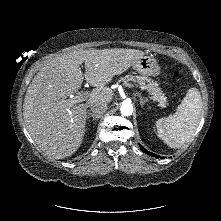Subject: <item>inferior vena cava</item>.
Masks as SVG:
<instances>
[{"label":"inferior vena cava","instance_id":"obj_1","mask_svg":"<svg viewBox=\"0 0 221 221\" xmlns=\"http://www.w3.org/2000/svg\"><path fill=\"white\" fill-rule=\"evenodd\" d=\"M89 107L92 114L101 116L107 110V103L104 101H95L92 104H90Z\"/></svg>","mask_w":221,"mask_h":221}]
</instances>
